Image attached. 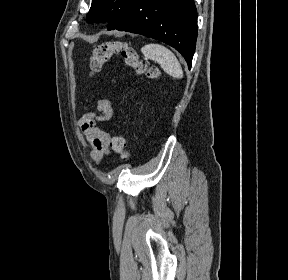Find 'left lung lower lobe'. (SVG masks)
I'll list each match as a JSON object with an SVG mask.
<instances>
[{
  "mask_svg": "<svg viewBox=\"0 0 288 280\" xmlns=\"http://www.w3.org/2000/svg\"><path fill=\"white\" fill-rule=\"evenodd\" d=\"M158 39L174 47L189 69L197 39V10L193 0H138L111 30Z\"/></svg>",
  "mask_w": 288,
  "mask_h": 280,
  "instance_id": "1",
  "label": "left lung lower lobe"
}]
</instances>
